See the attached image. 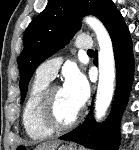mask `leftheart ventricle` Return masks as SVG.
Instances as JSON below:
<instances>
[{"label": "left heart ventricle", "instance_id": "left-heart-ventricle-1", "mask_svg": "<svg viewBox=\"0 0 139 150\" xmlns=\"http://www.w3.org/2000/svg\"><path fill=\"white\" fill-rule=\"evenodd\" d=\"M80 108L71 100L63 88L54 93L53 114L60 123H68L77 115Z\"/></svg>", "mask_w": 139, "mask_h": 150}]
</instances>
